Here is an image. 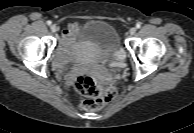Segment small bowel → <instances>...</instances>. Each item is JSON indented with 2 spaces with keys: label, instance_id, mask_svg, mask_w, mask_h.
Segmentation results:
<instances>
[{
  "label": "small bowel",
  "instance_id": "small-bowel-1",
  "mask_svg": "<svg viewBox=\"0 0 194 133\" xmlns=\"http://www.w3.org/2000/svg\"><path fill=\"white\" fill-rule=\"evenodd\" d=\"M79 26L78 24L74 23L69 25L66 30L63 32L62 36V47L59 52L58 58H57V65L62 66L66 61L67 56V49L69 45L71 44V41L73 37L75 36L76 32L78 31Z\"/></svg>",
  "mask_w": 194,
  "mask_h": 133
}]
</instances>
